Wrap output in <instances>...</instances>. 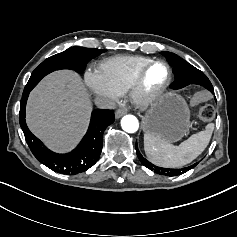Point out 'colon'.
Returning a JSON list of instances; mask_svg holds the SVG:
<instances>
[{
	"label": "colon",
	"instance_id": "5ec220e1",
	"mask_svg": "<svg viewBox=\"0 0 237 237\" xmlns=\"http://www.w3.org/2000/svg\"><path fill=\"white\" fill-rule=\"evenodd\" d=\"M209 96V92L200 91L196 93L191 99V105L195 107V116L203 122H209L215 116V110L213 106L209 104L199 106L200 103L207 101Z\"/></svg>",
	"mask_w": 237,
	"mask_h": 237
}]
</instances>
